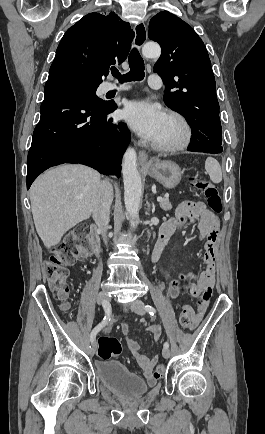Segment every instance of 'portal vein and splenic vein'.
I'll list each match as a JSON object with an SVG mask.
<instances>
[{"label":"portal vein and splenic vein","mask_w":265,"mask_h":434,"mask_svg":"<svg viewBox=\"0 0 265 434\" xmlns=\"http://www.w3.org/2000/svg\"><path fill=\"white\" fill-rule=\"evenodd\" d=\"M76 200H82V198H76ZM163 198H157V202H162Z\"/></svg>","instance_id":"1"}]
</instances>
